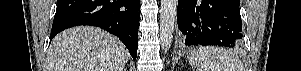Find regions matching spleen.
<instances>
[{"label":"spleen","instance_id":"spleen-1","mask_svg":"<svg viewBox=\"0 0 301 71\" xmlns=\"http://www.w3.org/2000/svg\"><path fill=\"white\" fill-rule=\"evenodd\" d=\"M190 65L197 71H245L240 58L231 50L206 47L193 50L188 55Z\"/></svg>","mask_w":301,"mask_h":71}]
</instances>
